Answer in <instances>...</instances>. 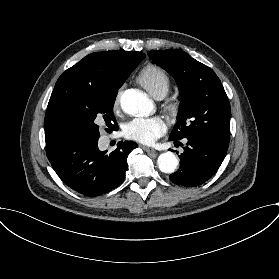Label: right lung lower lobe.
<instances>
[{
    "instance_id": "1",
    "label": "right lung lower lobe",
    "mask_w": 279,
    "mask_h": 279,
    "mask_svg": "<svg viewBox=\"0 0 279 279\" xmlns=\"http://www.w3.org/2000/svg\"><path fill=\"white\" fill-rule=\"evenodd\" d=\"M135 142H119L117 149H98V140L81 150L60 155L51 162L60 179L70 188L87 197H95L119 186L125 178L127 155Z\"/></svg>"
}]
</instances>
